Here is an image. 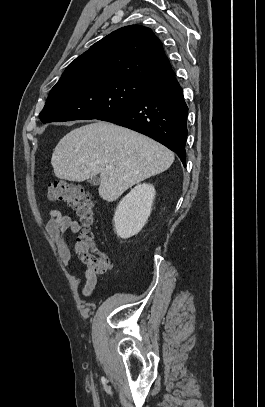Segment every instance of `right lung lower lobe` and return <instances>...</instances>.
I'll return each mask as SVG.
<instances>
[{"mask_svg": "<svg viewBox=\"0 0 265 407\" xmlns=\"http://www.w3.org/2000/svg\"><path fill=\"white\" fill-rule=\"evenodd\" d=\"M188 107L174 74L151 87L137 103L98 118L140 132L175 152L184 167Z\"/></svg>", "mask_w": 265, "mask_h": 407, "instance_id": "1", "label": "right lung lower lobe"}]
</instances>
